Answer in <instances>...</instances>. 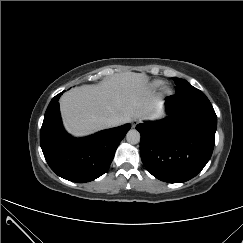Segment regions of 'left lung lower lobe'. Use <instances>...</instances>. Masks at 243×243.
<instances>
[{
  "instance_id": "left-lung-lower-lobe-1",
  "label": "left lung lower lobe",
  "mask_w": 243,
  "mask_h": 243,
  "mask_svg": "<svg viewBox=\"0 0 243 243\" xmlns=\"http://www.w3.org/2000/svg\"><path fill=\"white\" fill-rule=\"evenodd\" d=\"M200 90L189 85L166 99L169 117L136 126L141 159L150 174L168 183L195 177L211 158L217 127L215 111L198 110Z\"/></svg>"
}]
</instances>
